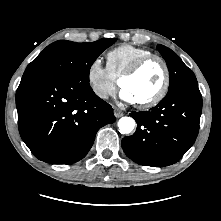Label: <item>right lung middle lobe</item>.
<instances>
[{
    "mask_svg": "<svg viewBox=\"0 0 221 221\" xmlns=\"http://www.w3.org/2000/svg\"><path fill=\"white\" fill-rule=\"evenodd\" d=\"M117 39L76 43L59 40L48 45L26 68L25 72L48 71L89 82V71L97 57Z\"/></svg>",
    "mask_w": 221,
    "mask_h": 221,
    "instance_id": "dd1d6c3e",
    "label": "right lung middle lobe"
}]
</instances>
